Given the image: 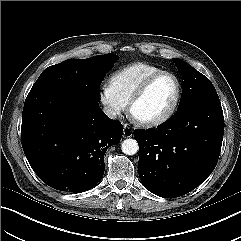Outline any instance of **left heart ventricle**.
I'll list each match as a JSON object with an SVG mask.
<instances>
[{
    "label": "left heart ventricle",
    "mask_w": 241,
    "mask_h": 241,
    "mask_svg": "<svg viewBox=\"0 0 241 241\" xmlns=\"http://www.w3.org/2000/svg\"><path fill=\"white\" fill-rule=\"evenodd\" d=\"M175 94V80L170 76L160 77L135 105V116L142 120H150L161 116L171 106Z\"/></svg>",
    "instance_id": "left-heart-ventricle-1"
}]
</instances>
